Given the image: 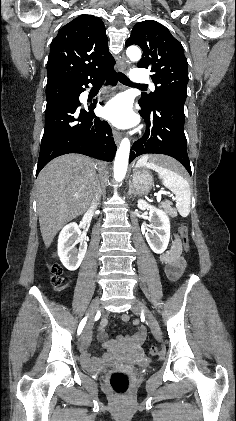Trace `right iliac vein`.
Wrapping results in <instances>:
<instances>
[{"label":"right iliac vein","instance_id":"1","mask_svg":"<svg viewBox=\"0 0 236 421\" xmlns=\"http://www.w3.org/2000/svg\"><path fill=\"white\" fill-rule=\"evenodd\" d=\"M98 306H99V298L97 297V298L93 299V301L91 302V304L89 306L88 320H87L85 329L82 332V339H85L92 329L93 318H94L95 313L97 312Z\"/></svg>","mask_w":236,"mask_h":421}]
</instances>
